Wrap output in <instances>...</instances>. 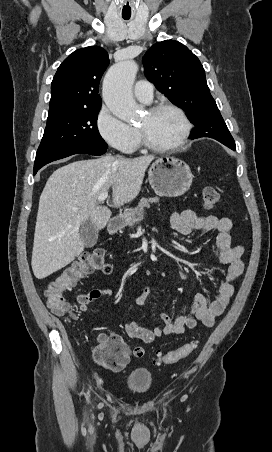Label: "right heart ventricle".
I'll return each instance as SVG.
<instances>
[{
	"mask_svg": "<svg viewBox=\"0 0 272 452\" xmlns=\"http://www.w3.org/2000/svg\"><path fill=\"white\" fill-rule=\"evenodd\" d=\"M137 144H138V140L136 141L135 147L137 146ZM135 147H134V148H135Z\"/></svg>",
	"mask_w": 272,
	"mask_h": 452,
	"instance_id": "e07e8e85",
	"label": "right heart ventricle"
}]
</instances>
